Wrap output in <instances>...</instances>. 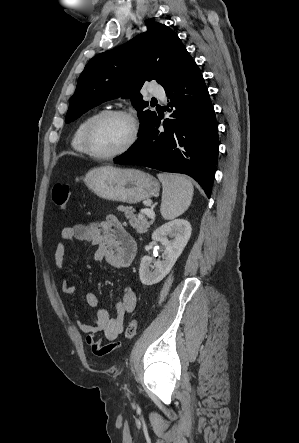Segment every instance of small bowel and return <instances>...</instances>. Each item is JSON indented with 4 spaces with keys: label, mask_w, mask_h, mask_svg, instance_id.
<instances>
[{
    "label": "small bowel",
    "mask_w": 299,
    "mask_h": 443,
    "mask_svg": "<svg viewBox=\"0 0 299 443\" xmlns=\"http://www.w3.org/2000/svg\"><path fill=\"white\" fill-rule=\"evenodd\" d=\"M60 238L62 241L56 246L54 252V262L58 271L63 268L66 255L65 241L89 242L94 248L93 256L96 261L106 262L118 269L129 267L137 251L135 240L112 215L98 225L78 224L64 227L60 232ZM60 287L65 294L71 296L74 303L75 287L64 277L60 278ZM85 300L90 307L94 308L99 305V298L94 292H88ZM136 304L135 292L131 288H126L115 306L114 316H111L107 309L102 308L97 311L96 322L88 324L75 310L77 325L86 334V343L93 354L105 356L120 346L117 338L123 330L126 315L134 311ZM99 333L103 334V338L108 341L107 344L103 343V339L98 336Z\"/></svg>",
    "instance_id": "obj_1"
}]
</instances>
